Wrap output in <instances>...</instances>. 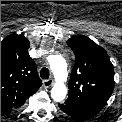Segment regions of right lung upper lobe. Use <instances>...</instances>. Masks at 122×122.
<instances>
[{
    "label": "right lung upper lobe",
    "instance_id": "right-lung-upper-lobe-1",
    "mask_svg": "<svg viewBox=\"0 0 122 122\" xmlns=\"http://www.w3.org/2000/svg\"><path fill=\"white\" fill-rule=\"evenodd\" d=\"M29 47L23 35L11 34L1 41V112L21 107L42 85Z\"/></svg>",
    "mask_w": 122,
    "mask_h": 122
}]
</instances>
